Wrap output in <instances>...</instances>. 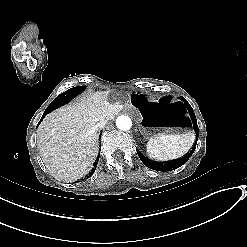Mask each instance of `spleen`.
I'll use <instances>...</instances> for the list:
<instances>
[{"mask_svg":"<svg viewBox=\"0 0 247 247\" xmlns=\"http://www.w3.org/2000/svg\"><path fill=\"white\" fill-rule=\"evenodd\" d=\"M195 133L159 135L147 143V155L157 161H168L185 155L195 142Z\"/></svg>","mask_w":247,"mask_h":247,"instance_id":"1","label":"spleen"}]
</instances>
